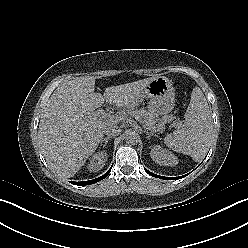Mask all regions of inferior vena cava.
I'll list each match as a JSON object with an SVG mask.
<instances>
[{
    "label": "inferior vena cava",
    "instance_id": "inferior-vena-cava-1",
    "mask_svg": "<svg viewBox=\"0 0 248 248\" xmlns=\"http://www.w3.org/2000/svg\"><path fill=\"white\" fill-rule=\"evenodd\" d=\"M121 127H119L117 124H108L105 126L103 132L109 137H115L121 134Z\"/></svg>",
    "mask_w": 248,
    "mask_h": 248
}]
</instances>
